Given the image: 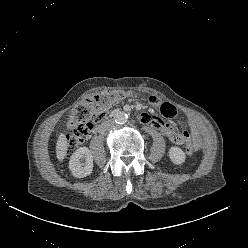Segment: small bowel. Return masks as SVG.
Returning a JSON list of instances; mask_svg holds the SVG:
<instances>
[{
    "instance_id": "c3829d8e",
    "label": "small bowel",
    "mask_w": 248,
    "mask_h": 248,
    "mask_svg": "<svg viewBox=\"0 0 248 248\" xmlns=\"http://www.w3.org/2000/svg\"><path fill=\"white\" fill-rule=\"evenodd\" d=\"M149 106L157 109V114L160 116L152 117L148 113H141L139 119L142 123H152V126L160 130L169 140L175 145H183L189 142H200V135L196 125L190 122V131L178 132L172 125L166 121L176 119L179 116V109L176 105L170 102L161 101L158 97L152 96L149 99ZM110 116V111L102 112L93 119V124H99L105 121Z\"/></svg>"
}]
</instances>
